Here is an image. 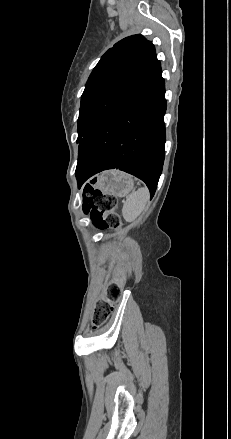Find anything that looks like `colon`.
Segmentation results:
<instances>
[{
	"mask_svg": "<svg viewBox=\"0 0 231 439\" xmlns=\"http://www.w3.org/2000/svg\"><path fill=\"white\" fill-rule=\"evenodd\" d=\"M117 199L113 195L103 194L92 188L84 189L83 209L90 214L92 223L98 229L117 227L119 216L115 213ZM122 295L121 285L111 282L106 286L104 296L100 298L95 307L92 322L99 326L106 322L112 313L113 305Z\"/></svg>",
	"mask_w": 231,
	"mask_h": 439,
	"instance_id": "colon-1",
	"label": "colon"
}]
</instances>
